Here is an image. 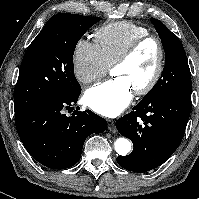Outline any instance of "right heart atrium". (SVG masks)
<instances>
[{
  "label": "right heart atrium",
  "mask_w": 199,
  "mask_h": 199,
  "mask_svg": "<svg viewBox=\"0 0 199 199\" xmlns=\"http://www.w3.org/2000/svg\"><path fill=\"white\" fill-rule=\"evenodd\" d=\"M73 71L82 84L98 80L109 69L96 43L85 39L77 41L72 57Z\"/></svg>",
  "instance_id": "right-heart-atrium-1"
}]
</instances>
